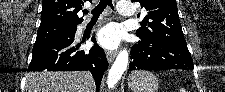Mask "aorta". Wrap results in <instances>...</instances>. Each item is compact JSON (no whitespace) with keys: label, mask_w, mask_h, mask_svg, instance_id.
<instances>
[{"label":"aorta","mask_w":225,"mask_h":92,"mask_svg":"<svg viewBox=\"0 0 225 92\" xmlns=\"http://www.w3.org/2000/svg\"><path fill=\"white\" fill-rule=\"evenodd\" d=\"M129 54L127 50H121L116 57L107 77V85L109 88H114L122 77V74L127 69Z\"/></svg>","instance_id":"762f6f07"}]
</instances>
